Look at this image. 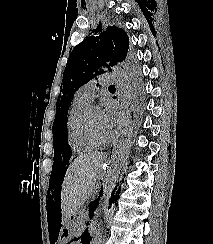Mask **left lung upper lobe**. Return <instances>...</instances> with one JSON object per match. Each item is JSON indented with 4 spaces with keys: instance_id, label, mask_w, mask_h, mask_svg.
Here are the masks:
<instances>
[{
    "instance_id": "1",
    "label": "left lung upper lobe",
    "mask_w": 213,
    "mask_h": 244,
    "mask_svg": "<svg viewBox=\"0 0 213 244\" xmlns=\"http://www.w3.org/2000/svg\"><path fill=\"white\" fill-rule=\"evenodd\" d=\"M128 49L129 38L122 28L108 26L103 31L102 27L98 26L72 50L63 73L62 95L58 96L56 104L54 137L59 133L66 135L67 112L75 92L97 75L105 73V70L111 71L110 66H126L132 76L136 98L140 100L142 95L137 70L127 57Z\"/></svg>"
}]
</instances>
